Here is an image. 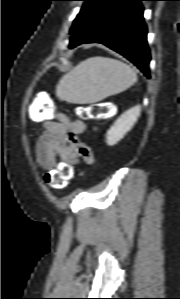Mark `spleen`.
Listing matches in <instances>:
<instances>
[{"mask_svg":"<svg viewBox=\"0 0 180 299\" xmlns=\"http://www.w3.org/2000/svg\"><path fill=\"white\" fill-rule=\"evenodd\" d=\"M137 81L135 71L126 63L109 57H91L62 76L57 97L68 103H95L118 94Z\"/></svg>","mask_w":180,"mask_h":299,"instance_id":"spleen-1","label":"spleen"}]
</instances>
